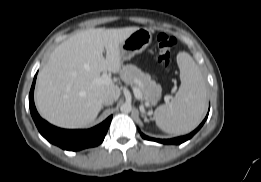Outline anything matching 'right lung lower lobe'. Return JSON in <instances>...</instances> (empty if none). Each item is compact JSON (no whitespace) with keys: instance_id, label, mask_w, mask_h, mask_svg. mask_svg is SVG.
Here are the masks:
<instances>
[{"instance_id":"98d812e1","label":"right lung lower lobe","mask_w":261,"mask_h":182,"mask_svg":"<svg viewBox=\"0 0 261 182\" xmlns=\"http://www.w3.org/2000/svg\"><path fill=\"white\" fill-rule=\"evenodd\" d=\"M36 76L34 77L29 94V107L32 118L40 134L50 143L55 144L65 150L77 151L99 145L107 133L112 116L108 117L101 124L88 130H66L49 124L39 116L34 105L33 93Z\"/></svg>"}]
</instances>
